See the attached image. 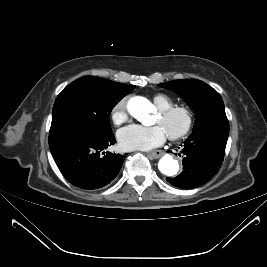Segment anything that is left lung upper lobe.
<instances>
[{"label":"left lung upper lobe","instance_id":"left-lung-upper-lobe-1","mask_svg":"<svg viewBox=\"0 0 267 267\" xmlns=\"http://www.w3.org/2000/svg\"><path fill=\"white\" fill-rule=\"evenodd\" d=\"M180 95L195 113L194 131L208 127H229L220 94L197 79H181L159 84Z\"/></svg>","mask_w":267,"mask_h":267}]
</instances>
